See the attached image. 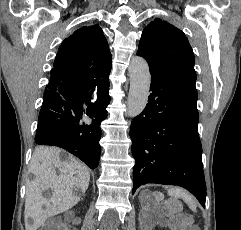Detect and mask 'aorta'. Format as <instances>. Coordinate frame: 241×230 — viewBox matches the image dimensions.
Here are the masks:
<instances>
[{
	"label": "aorta",
	"instance_id": "762f6f07",
	"mask_svg": "<svg viewBox=\"0 0 241 230\" xmlns=\"http://www.w3.org/2000/svg\"><path fill=\"white\" fill-rule=\"evenodd\" d=\"M130 89L127 101V114L136 117L144 110L149 96L151 82L147 62L142 57H133L128 68Z\"/></svg>",
	"mask_w": 241,
	"mask_h": 230
}]
</instances>
